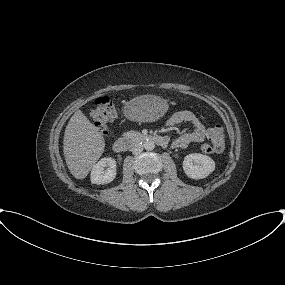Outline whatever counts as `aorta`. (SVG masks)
Masks as SVG:
<instances>
[{
	"mask_svg": "<svg viewBox=\"0 0 285 285\" xmlns=\"http://www.w3.org/2000/svg\"><path fill=\"white\" fill-rule=\"evenodd\" d=\"M143 146L147 151H152L155 148V144L151 140H147Z\"/></svg>",
	"mask_w": 285,
	"mask_h": 285,
	"instance_id": "aorta-1",
	"label": "aorta"
}]
</instances>
